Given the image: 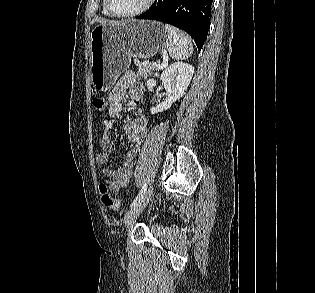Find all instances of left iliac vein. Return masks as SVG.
Wrapping results in <instances>:
<instances>
[{
	"label": "left iliac vein",
	"mask_w": 315,
	"mask_h": 293,
	"mask_svg": "<svg viewBox=\"0 0 315 293\" xmlns=\"http://www.w3.org/2000/svg\"><path fill=\"white\" fill-rule=\"evenodd\" d=\"M152 194H153V189H149L144 194L142 199L139 202H137L134 206H132L130 210L124 215L123 223L125 227H128L134 221V219L137 218L141 214L143 209L149 203L152 197Z\"/></svg>",
	"instance_id": "obj_1"
}]
</instances>
